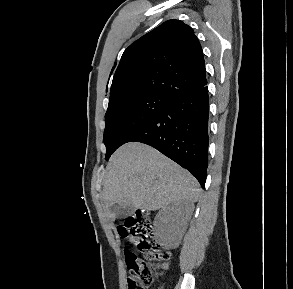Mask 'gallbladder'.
Here are the masks:
<instances>
[{
  "label": "gallbladder",
  "instance_id": "1",
  "mask_svg": "<svg viewBox=\"0 0 293 289\" xmlns=\"http://www.w3.org/2000/svg\"><path fill=\"white\" fill-rule=\"evenodd\" d=\"M134 207L129 198L123 199L119 203H113L108 211L117 218H125L132 214Z\"/></svg>",
  "mask_w": 293,
  "mask_h": 289
}]
</instances>
